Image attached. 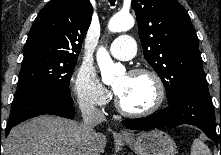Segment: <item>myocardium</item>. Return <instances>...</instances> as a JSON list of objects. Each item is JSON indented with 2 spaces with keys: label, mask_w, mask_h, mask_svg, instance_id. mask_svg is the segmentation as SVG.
<instances>
[{
  "label": "myocardium",
  "mask_w": 221,
  "mask_h": 155,
  "mask_svg": "<svg viewBox=\"0 0 221 155\" xmlns=\"http://www.w3.org/2000/svg\"><path fill=\"white\" fill-rule=\"evenodd\" d=\"M128 74L129 75H142V74H144V75L150 76L153 79L155 86H156V99H155V102L153 103V105L150 106L146 110L130 111L123 106L118 95L116 94L115 104H116V108L118 109V111L121 114H123L124 116L137 117V118L147 117V116H150V115L154 114L155 112H157L165 100V86H164L163 80L159 76V74L156 71H154L153 69H150L147 67H138V68L132 69L131 71H129Z\"/></svg>",
  "instance_id": "myocardium-1"
}]
</instances>
